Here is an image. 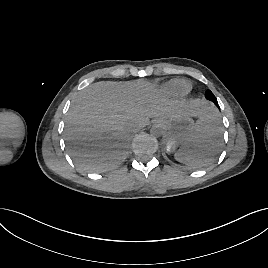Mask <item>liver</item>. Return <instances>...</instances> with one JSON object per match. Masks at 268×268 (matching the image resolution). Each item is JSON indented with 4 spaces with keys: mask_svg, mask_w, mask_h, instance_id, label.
I'll return each instance as SVG.
<instances>
[{
    "mask_svg": "<svg viewBox=\"0 0 268 268\" xmlns=\"http://www.w3.org/2000/svg\"><path fill=\"white\" fill-rule=\"evenodd\" d=\"M211 107L196 99L188 105L159 94L146 81L96 82L79 91L65 119V140L76 165L91 172L115 167L132 130L150 118L183 113L205 117Z\"/></svg>",
    "mask_w": 268,
    "mask_h": 268,
    "instance_id": "obj_1",
    "label": "liver"
}]
</instances>
